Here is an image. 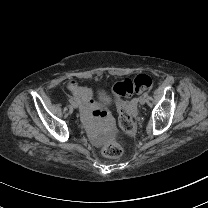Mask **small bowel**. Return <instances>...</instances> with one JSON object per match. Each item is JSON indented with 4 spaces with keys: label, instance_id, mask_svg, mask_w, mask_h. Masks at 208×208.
<instances>
[{
    "label": "small bowel",
    "instance_id": "c3829d8e",
    "mask_svg": "<svg viewBox=\"0 0 208 208\" xmlns=\"http://www.w3.org/2000/svg\"><path fill=\"white\" fill-rule=\"evenodd\" d=\"M80 84L81 81L78 78L67 80L63 82L61 89L56 90L55 95L61 100H71L74 97L75 102L81 108L80 119L83 121L91 140L94 145L100 146L105 142V135L114 128L115 123L112 121L111 117L107 115L105 110H96V104L101 101L100 96L95 95L92 97L89 91L81 89ZM104 89V84L99 83L95 86L94 91L95 93L100 94ZM74 94L76 95L74 96ZM93 107L95 108L93 109ZM63 113L64 115L69 116L71 115L72 110L71 108L66 107L64 108ZM97 119L101 120L98 126L96 123L92 122Z\"/></svg>",
    "mask_w": 208,
    "mask_h": 208
}]
</instances>
